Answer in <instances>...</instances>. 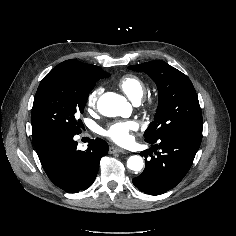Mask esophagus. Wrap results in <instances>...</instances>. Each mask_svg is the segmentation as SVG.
<instances>
[{
	"instance_id": "1",
	"label": "esophagus",
	"mask_w": 236,
	"mask_h": 236,
	"mask_svg": "<svg viewBox=\"0 0 236 236\" xmlns=\"http://www.w3.org/2000/svg\"><path fill=\"white\" fill-rule=\"evenodd\" d=\"M126 151L125 150H123V149H121V148H119V147H116V146H111L110 148H109V153L110 154H114V153H125Z\"/></svg>"
}]
</instances>
